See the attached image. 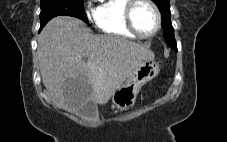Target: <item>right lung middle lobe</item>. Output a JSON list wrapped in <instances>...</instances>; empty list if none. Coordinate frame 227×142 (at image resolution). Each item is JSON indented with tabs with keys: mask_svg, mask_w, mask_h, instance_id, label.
Segmentation results:
<instances>
[{
	"mask_svg": "<svg viewBox=\"0 0 227 142\" xmlns=\"http://www.w3.org/2000/svg\"><path fill=\"white\" fill-rule=\"evenodd\" d=\"M60 15L76 17L88 23L83 0H41L40 30L49 20Z\"/></svg>",
	"mask_w": 227,
	"mask_h": 142,
	"instance_id": "dd1d6c3e",
	"label": "right lung middle lobe"
}]
</instances>
